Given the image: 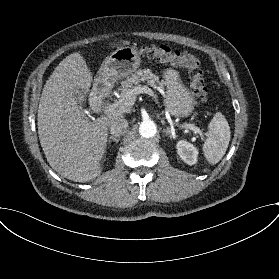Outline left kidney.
I'll return each mask as SVG.
<instances>
[{"label": "left kidney", "mask_w": 279, "mask_h": 279, "mask_svg": "<svg viewBox=\"0 0 279 279\" xmlns=\"http://www.w3.org/2000/svg\"><path fill=\"white\" fill-rule=\"evenodd\" d=\"M180 158L188 165L197 163L198 149L186 140H180L176 145Z\"/></svg>", "instance_id": "left-kidney-1"}]
</instances>
